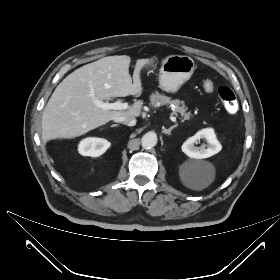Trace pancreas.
<instances>
[{"label":"pancreas","instance_id":"cf45deb5","mask_svg":"<svg viewBox=\"0 0 280 280\" xmlns=\"http://www.w3.org/2000/svg\"><path fill=\"white\" fill-rule=\"evenodd\" d=\"M169 105L170 107L174 105V114L180 115L183 120H190L193 115L190 111L187 112L188 108L185 106L183 101L178 99H171L170 97L160 94L158 91L150 95V106L156 108L159 106Z\"/></svg>","mask_w":280,"mask_h":280}]
</instances>
